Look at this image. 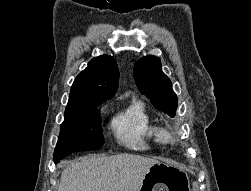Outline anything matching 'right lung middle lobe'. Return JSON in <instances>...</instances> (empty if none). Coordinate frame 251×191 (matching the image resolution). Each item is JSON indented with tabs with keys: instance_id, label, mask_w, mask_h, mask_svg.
<instances>
[{
	"instance_id": "right-lung-middle-lobe-1",
	"label": "right lung middle lobe",
	"mask_w": 251,
	"mask_h": 191,
	"mask_svg": "<svg viewBox=\"0 0 251 191\" xmlns=\"http://www.w3.org/2000/svg\"><path fill=\"white\" fill-rule=\"evenodd\" d=\"M98 106L65 111L54 152L55 163L73 152L98 149L104 144Z\"/></svg>"
}]
</instances>
